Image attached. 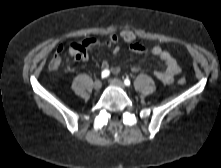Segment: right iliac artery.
<instances>
[{"instance_id":"82829eb1","label":"right iliac artery","mask_w":221,"mask_h":168,"mask_svg":"<svg viewBox=\"0 0 221 168\" xmlns=\"http://www.w3.org/2000/svg\"><path fill=\"white\" fill-rule=\"evenodd\" d=\"M109 74H110V71H109V70H104V71H102V73H101V77H102V78H106V77L109 76Z\"/></svg>"}]
</instances>
